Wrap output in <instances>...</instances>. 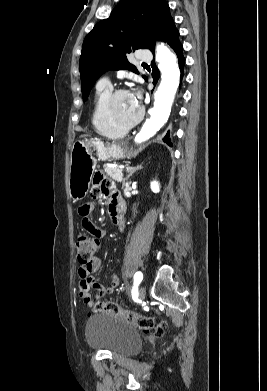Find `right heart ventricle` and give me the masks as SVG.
I'll use <instances>...</instances> for the list:
<instances>
[{
  "label": "right heart ventricle",
  "mask_w": 267,
  "mask_h": 391,
  "mask_svg": "<svg viewBox=\"0 0 267 391\" xmlns=\"http://www.w3.org/2000/svg\"><path fill=\"white\" fill-rule=\"evenodd\" d=\"M110 93V87L97 88L91 120L97 133L107 138L116 139L123 137L127 131L115 126L107 117L105 103Z\"/></svg>",
  "instance_id": "right-heart-ventricle-1"
}]
</instances>
